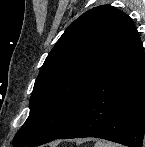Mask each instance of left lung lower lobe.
Segmentation results:
<instances>
[{"label":"left lung lower lobe","mask_w":145,"mask_h":147,"mask_svg":"<svg viewBox=\"0 0 145 147\" xmlns=\"http://www.w3.org/2000/svg\"><path fill=\"white\" fill-rule=\"evenodd\" d=\"M144 133L145 53L127 16L76 118L57 138L97 137L141 147Z\"/></svg>","instance_id":"left-lung-lower-lobe-1"}]
</instances>
